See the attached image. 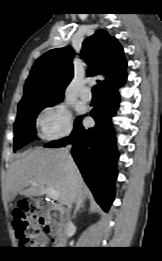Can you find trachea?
<instances>
[{"instance_id": "obj_1", "label": "trachea", "mask_w": 162, "mask_h": 261, "mask_svg": "<svg viewBox=\"0 0 162 261\" xmlns=\"http://www.w3.org/2000/svg\"><path fill=\"white\" fill-rule=\"evenodd\" d=\"M99 86L98 85H95L92 89V93L93 95H99Z\"/></svg>"}]
</instances>
